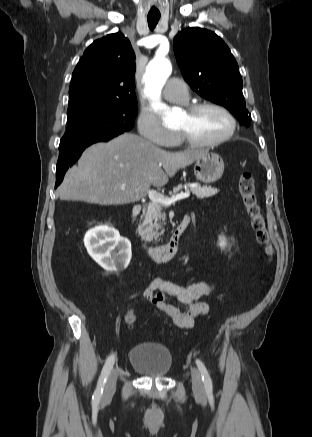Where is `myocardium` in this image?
I'll list each match as a JSON object with an SVG mask.
<instances>
[{
    "label": "myocardium",
    "instance_id": "obj_1",
    "mask_svg": "<svg viewBox=\"0 0 312 437\" xmlns=\"http://www.w3.org/2000/svg\"><path fill=\"white\" fill-rule=\"evenodd\" d=\"M206 108L216 109L225 115V117L229 121L228 131L224 135H222L218 138H215L212 140L200 141V140H197V139L191 137L186 131L178 130V135H179V138H180L182 143L189 145V146H193V147H210V146H216V145L222 144L233 137V135L235 134L236 129H237V121H236V118L233 115V113L228 108L223 106L222 104H219L216 102H210V101L199 102V103H194V104L189 105L185 111L188 115H194L195 113L199 112L200 110H203Z\"/></svg>",
    "mask_w": 312,
    "mask_h": 437
}]
</instances>
